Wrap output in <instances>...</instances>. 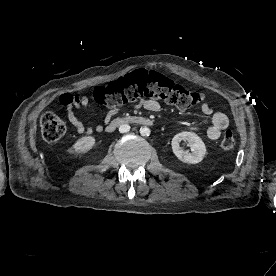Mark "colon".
Returning <instances> with one entry per match:
<instances>
[{
    "label": "colon",
    "instance_id": "obj_1",
    "mask_svg": "<svg viewBox=\"0 0 276 276\" xmlns=\"http://www.w3.org/2000/svg\"><path fill=\"white\" fill-rule=\"evenodd\" d=\"M92 97L100 104L114 107L141 98L162 99L179 108H189L205 100V95L192 92L176 84L166 76L145 69H139L129 76L107 86L94 89ZM42 136L47 142H55L66 132L64 122L53 113H46L41 118ZM235 146V137L226 131L221 140L220 148L231 151Z\"/></svg>",
    "mask_w": 276,
    "mask_h": 276
}]
</instances>
